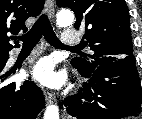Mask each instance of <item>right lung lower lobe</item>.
Here are the masks:
<instances>
[{
  "label": "right lung lower lobe",
  "instance_id": "obj_1",
  "mask_svg": "<svg viewBox=\"0 0 142 119\" xmlns=\"http://www.w3.org/2000/svg\"><path fill=\"white\" fill-rule=\"evenodd\" d=\"M8 53L0 55V119H35L44 106L42 90L31 80L6 84Z\"/></svg>",
  "mask_w": 142,
  "mask_h": 119
}]
</instances>
